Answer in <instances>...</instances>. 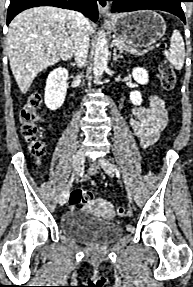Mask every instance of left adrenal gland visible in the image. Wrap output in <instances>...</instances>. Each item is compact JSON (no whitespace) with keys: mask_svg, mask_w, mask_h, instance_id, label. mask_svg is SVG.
Segmentation results:
<instances>
[{"mask_svg":"<svg viewBox=\"0 0 193 287\" xmlns=\"http://www.w3.org/2000/svg\"><path fill=\"white\" fill-rule=\"evenodd\" d=\"M119 58H122V55L117 53V49H114L113 50V61L116 62Z\"/></svg>","mask_w":193,"mask_h":287,"instance_id":"1","label":"left adrenal gland"}]
</instances>
